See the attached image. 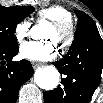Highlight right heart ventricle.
<instances>
[{
	"label": "right heart ventricle",
	"instance_id": "e07e8e85",
	"mask_svg": "<svg viewBox=\"0 0 103 103\" xmlns=\"http://www.w3.org/2000/svg\"><path fill=\"white\" fill-rule=\"evenodd\" d=\"M38 19L48 20L51 22L60 20H71V13L61 6L54 5L39 11Z\"/></svg>",
	"mask_w": 103,
	"mask_h": 103
}]
</instances>
